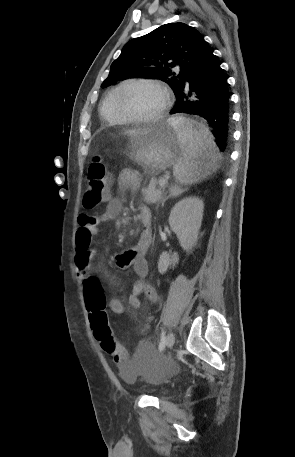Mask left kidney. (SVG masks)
Here are the masks:
<instances>
[{"mask_svg": "<svg viewBox=\"0 0 295 457\" xmlns=\"http://www.w3.org/2000/svg\"><path fill=\"white\" fill-rule=\"evenodd\" d=\"M204 203L198 197H186L175 204L169 216V225L176 233L181 247L189 251L197 243L203 219ZM177 253L163 252L158 261V271L163 274L178 263Z\"/></svg>", "mask_w": 295, "mask_h": 457, "instance_id": "obj_1", "label": "left kidney"}]
</instances>
